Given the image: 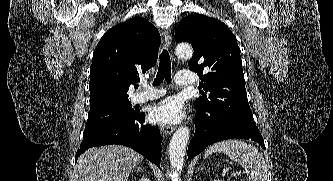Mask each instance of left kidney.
<instances>
[{
  "instance_id": "obj_1",
  "label": "left kidney",
  "mask_w": 333,
  "mask_h": 181,
  "mask_svg": "<svg viewBox=\"0 0 333 181\" xmlns=\"http://www.w3.org/2000/svg\"><path fill=\"white\" fill-rule=\"evenodd\" d=\"M212 181H222V180H212Z\"/></svg>"
}]
</instances>
